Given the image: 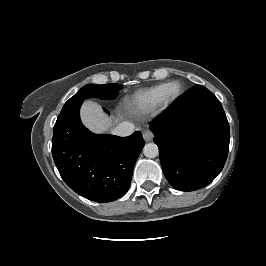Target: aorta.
Instances as JSON below:
<instances>
[{"instance_id": "obj_1", "label": "aorta", "mask_w": 266, "mask_h": 266, "mask_svg": "<svg viewBox=\"0 0 266 266\" xmlns=\"http://www.w3.org/2000/svg\"><path fill=\"white\" fill-rule=\"evenodd\" d=\"M143 153L147 158H155L159 154V150L156 144L148 143L143 148Z\"/></svg>"}]
</instances>
